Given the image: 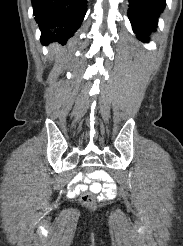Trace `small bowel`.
Masks as SVG:
<instances>
[{
  "mask_svg": "<svg viewBox=\"0 0 183 246\" xmlns=\"http://www.w3.org/2000/svg\"><path fill=\"white\" fill-rule=\"evenodd\" d=\"M109 170H93L92 174L86 176V174H75L73 179V187L68 193V198H77V195L83 193L87 190H90L94 193L102 192L104 198H116V189L114 187L115 177L109 175ZM84 179V183H92L89 186L86 184H76L77 181ZM95 179H100V182H103L105 185L103 188L100 184L95 183Z\"/></svg>",
  "mask_w": 183,
  "mask_h": 246,
  "instance_id": "1",
  "label": "small bowel"
}]
</instances>
